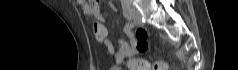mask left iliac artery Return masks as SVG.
Here are the masks:
<instances>
[{"label": "left iliac artery", "mask_w": 238, "mask_h": 70, "mask_svg": "<svg viewBox=\"0 0 238 70\" xmlns=\"http://www.w3.org/2000/svg\"><path fill=\"white\" fill-rule=\"evenodd\" d=\"M121 4H122V8H123L125 16L127 18H130V16H131V7H130L129 1L128 0H122Z\"/></svg>", "instance_id": "44dca946"}]
</instances>
